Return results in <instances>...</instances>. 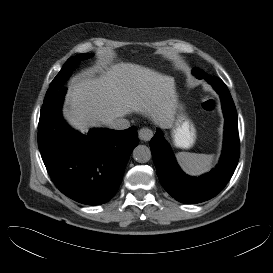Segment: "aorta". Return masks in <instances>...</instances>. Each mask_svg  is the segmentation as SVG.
<instances>
[{
  "mask_svg": "<svg viewBox=\"0 0 273 273\" xmlns=\"http://www.w3.org/2000/svg\"><path fill=\"white\" fill-rule=\"evenodd\" d=\"M152 157L151 150L146 145H138L133 150V158L139 163H146Z\"/></svg>",
  "mask_w": 273,
  "mask_h": 273,
  "instance_id": "1",
  "label": "aorta"
}]
</instances>
